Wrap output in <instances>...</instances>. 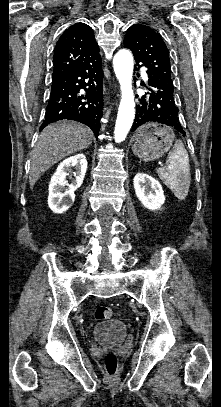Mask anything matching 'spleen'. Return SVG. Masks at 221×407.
Wrapping results in <instances>:
<instances>
[{
  "label": "spleen",
  "mask_w": 221,
  "mask_h": 407,
  "mask_svg": "<svg viewBox=\"0 0 221 407\" xmlns=\"http://www.w3.org/2000/svg\"><path fill=\"white\" fill-rule=\"evenodd\" d=\"M166 163L168 167L158 168L156 171L176 198L183 200L188 194L191 178L188 153L181 140H176Z\"/></svg>",
  "instance_id": "spleen-1"
}]
</instances>
